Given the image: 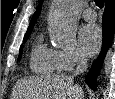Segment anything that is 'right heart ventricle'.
I'll use <instances>...</instances> for the list:
<instances>
[{
	"instance_id": "right-heart-ventricle-1",
	"label": "right heart ventricle",
	"mask_w": 115,
	"mask_h": 99,
	"mask_svg": "<svg viewBox=\"0 0 115 99\" xmlns=\"http://www.w3.org/2000/svg\"><path fill=\"white\" fill-rule=\"evenodd\" d=\"M56 51L45 46L39 38L33 45L30 68L37 74L50 75L59 70Z\"/></svg>"
}]
</instances>
